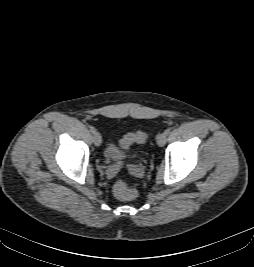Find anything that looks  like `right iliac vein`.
<instances>
[{"label":"right iliac vein","instance_id":"obj_1","mask_svg":"<svg viewBox=\"0 0 254 267\" xmlns=\"http://www.w3.org/2000/svg\"><path fill=\"white\" fill-rule=\"evenodd\" d=\"M93 142L96 146H100L102 143V137L99 132L95 131L93 133Z\"/></svg>","mask_w":254,"mask_h":267}]
</instances>
